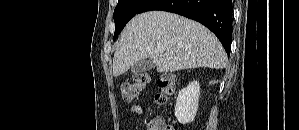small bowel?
Here are the masks:
<instances>
[{
    "mask_svg": "<svg viewBox=\"0 0 299 130\" xmlns=\"http://www.w3.org/2000/svg\"><path fill=\"white\" fill-rule=\"evenodd\" d=\"M130 111H131L132 114L139 115V114H142L143 109L139 105H133V106H131Z\"/></svg>",
    "mask_w": 299,
    "mask_h": 130,
    "instance_id": "obj_1",
    "label": "small bowel"
}]
</instances>
